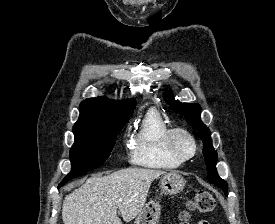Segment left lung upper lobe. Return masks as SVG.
<instances>
[{
	"mask_svg": "<svg viewBox=\"0 0 275 224\" xmlns=\"http://www.w3.org/2000/svg\"><path fill=\"white\" fill-rule=\"evenodd\" d=\"M164 95L170 108L177 114L183 115L186 121L205 137V140H203V155L206 161L208 177L215 185L220 187L225 194H227V183L225 180L221 179L217 173L216 162L218 156L212 146L210 130L201 122L200 119L201 107L198 104L181 103L178 100H175L171 91H165Z\"/></svg>",
	"mask_w": 275,
	"mask_h": 224,
	"instance_id": "left-lung-upper-lobe-1",
	"label": "left lung upper lobe"
}]
</instances>
